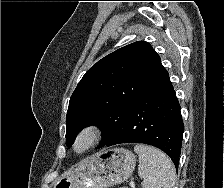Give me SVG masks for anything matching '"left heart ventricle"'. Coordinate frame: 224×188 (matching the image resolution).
Wrapping results in <instances>:
<instances>
[{"label": "left heart ventricle", "mask_w": 224, "mask_h": 188, "mask_svg": "<svg viewBox=\"0 0 224 188\" xmlns=\"http://www.w3.org/2000/svg\"><path fill=\"white\" fill-rule=\"evenodd\" d=\"M83 144H84V142L82 141V142H80L79 143V147H82L83 146Z\"/></svg>", "instance_id": "1"}]
</instances>
